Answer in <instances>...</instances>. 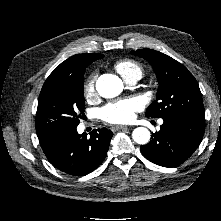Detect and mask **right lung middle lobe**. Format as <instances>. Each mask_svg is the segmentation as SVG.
<instances>
[{
    "label": "right lung middle lobe",
    "instance_id": "1",
    "mask_svg": "<svg viewBox=\"0 0 221 221\" xmlns=\"http://www.w3.org/2000/svg\"><path fill=\"white\" fill-rule=\"evenodd\" d=\"M84 73L75 77L60 75L47 78L36 113L38 138L77 127L85 107Z\"/></svg>",
    "mask_w": 221,
    "mask_h": 221
}]
</instances>
